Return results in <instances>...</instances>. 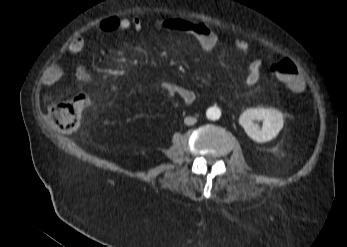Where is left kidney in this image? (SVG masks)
<instances>
[{"label":"left kidney","instance_id":"obj_1","mask_svg":"<svg viewBox=\"0 0 347 247\" xmlns=\"http://www.w3.org/2000/svg\"><path fill=\"white\" fill-rule=\"evenodd\" d=\"M263 120L262 128L254 121ZM246 134L256 142H268L274 139L283 128V114L275 108H249L239 118Z\"/></svg>","mask_w":347,"mask_h":247}]
</instances>
